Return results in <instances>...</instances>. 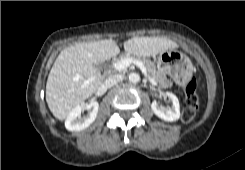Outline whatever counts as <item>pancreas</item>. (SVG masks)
<instances>
[{"instance_id":"pancreas-1","label":"pancreas","mask_w":245,"mask_h":170,"mask_svg":"<svg viewBox=\"0 0 245 170\" xmlns=\"http://www.w3.org/2000/svg\"><path fill=\"white\" fill-rule=\"evenodd\" d=\"M132 58L142 62L147 70V73L151 79H153L160 88H168L173 85L172 81L167 79L166 74L159 71L154 62L150 59L145 58L140 55L126 54L121 57V59Z\"/></svg>"}]
</instances>
